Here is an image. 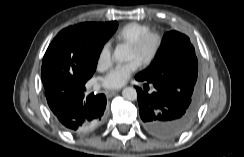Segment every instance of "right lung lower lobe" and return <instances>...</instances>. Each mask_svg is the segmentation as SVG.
I'll list each match as a JSON object with an SVG mask.
<instances>
[{
  "instance_id": "1",
  "label": "right lung lower lobe",
  "mask_w": 244,
  "mask_h": 157,
  "mask_svg": "<svg viewBox=\"0 0 244 157\" xmlns=\"http://www.w3.org/2000/svg\"><path fill=\"white\" fill-rule=\"evenodd\" d=\"M85 84H70L45 93L56 121L72 133H87L97 128L106 115L103 94H85Z\"/></svg>"
}]
</instances>
